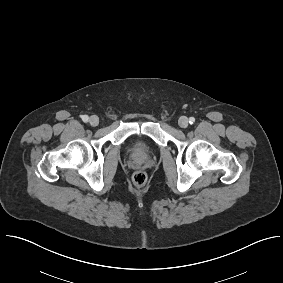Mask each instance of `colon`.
Listing matches in <instances>:
<instances>
[{"mask_svg": "<svg viewBox=\"0 0 283 283\" xmlns=\"http://www.w3.org/2000/svg\"><path fill=\"white\" fill-rule=\"evenodd\" d=\"M132 182L136 187H143L147 182V175L143 171H137L132 176Z\"/></svg>", "mask_w": 283, "mask_h": 283, "instance_id": "1", "label": "colon"}]
</instances>
